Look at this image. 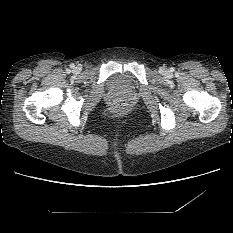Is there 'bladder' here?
Wrapping results in <instances>:
<instances>
[{
    "instance_id": "bladder-1",
    "label": "bladder",
    "mask_w": 233,
    "mask_h": 233,
    "mask_svg": "<svg viewBox=\"0 0 233 233\" xmlns=\"http://www.w3.org/2000/svg\"><path fill=\"white\" fill-rule=\"evenodd\" d=\"M109 88L116 92H131L134 90V79L128 73H116L108 81Z\"/></svg>"
}]
</instances>
